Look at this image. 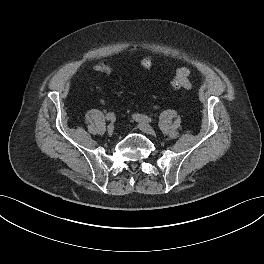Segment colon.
<instances>
[{"mask_svg":"<svg viewBox=\"0 0 264 264\" xmlns=\"http://www.w3.org/2000/svg\"><path fill=\"white\" fill-rule=\"evenodd\" d=\"M140 65L144 69H150L152 66V59L150 57H144L140 61ZM96 70L103 72V73H110L111 68L110 66L103 62L96 66ZM190 71L187 68H179L176 71L175 76L170 81V85L174 89H190L191 83L189 80Z\"/></svg>","mask_w":264,"mask_h":264,"instance_id":"colon-1","label":"colon"}]
</instances>
